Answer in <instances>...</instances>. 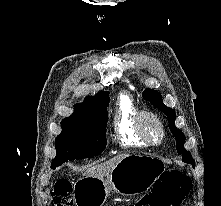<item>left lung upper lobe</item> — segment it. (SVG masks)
Masks as SVG:
<instances>
[{
	"instance_id": "1",
	"label": "left lung upper lobe",
	"mask_w": 221,
	"mask_h": 206,
	"mask_svg": "<svg viewBox=\"0 0 221 206\" xmlns=\"http://www.w3.org/2000/svg\"><path fill=\"white\" fill-rule=\"evenodd\" d=\"M144 99L150 101L152 105L157 107L159 110H161L163 113L166 114V116L169 119V128L172 132V134L176 138V144H177V151L178 154L182 156V160L185 163L191 164L193 167H195L194 160L191 156V154L184 148V134L181 130L177 129L175 126V118L176 114L175 111L172 108L167 107L164 105L162 101L161 94L158 91L152 90V89H146L143 92Z\"/></svg>"
}]
</instances>
